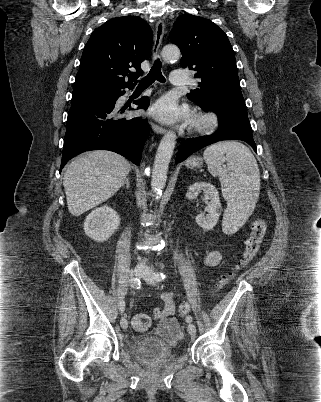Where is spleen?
Instances as JSON below:
<instances>
[{
	"instance_id": "obj_1",
	"label": "spleen",
	"mask_w": 321,
	"mask_h": 402,
	"mask_svg": "<svg viewBox=\"0 0 321 402\" xmlns=\"http://www.w3.org/2000/svg\"><path fill=\"white\" fill-rule=\"evenodd\" d=\"M212 176H218L227 201L222 228L227 234L236 232L253 212L260 192L257 161L248 147L237 141L210 145L203 153ZM227 163V167L223 166Z\"/></svg>"
}]
</instances>
